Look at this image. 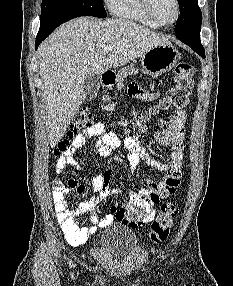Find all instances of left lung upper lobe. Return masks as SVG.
Listing matches in <instances>:
<instances>
[{"label":"left lung upper lobe","mask_w":233,"mask_h":286,"mask_svg":"<svg viewBox=\"0 0 233 286\" xmlns=\"http://www.w3.org/2000/svg\"><path fill=\"white\" fill-rule=\"evenodd\" d=\"M180 17L175 26V33H183L189 29L199 28L202 23V14L198 0H178Z\"/></svg>","instance_id":"5c2ea615"}]
</instances>
